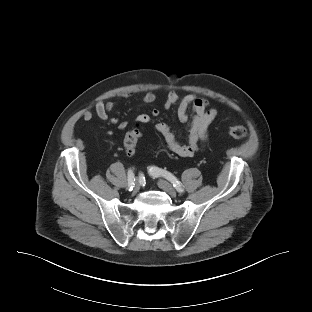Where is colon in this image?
Returning a JSON list of instances; mask_svg holds the SVG:
<instances>
[{
	"label": "colon",
	"instance_id": "colon-1",
	"mask_svg": "<svg viewBox=\"0 0 312 312\" xmlns=\"http://www.w3.org/2000/svg\"><path fill=\"white\" fill-rule=\"evenodd\" d=\"M228 133L235 139H244L248 135L246 127L234 124L228 127ZM140 136L141 129L138 125L127 132L124 138V148L127 155L133 156L136 153V146Z\"/></svg>",
	"mask_w": 312,
	"mask_h": 312
}]
</instances>
